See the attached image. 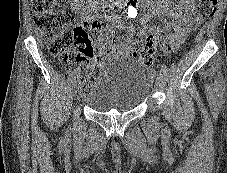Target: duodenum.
<instances>
[{"mask_svg":"<svg viewBox=\"0 0 227 173\" xmlns=\"http://www.w3.org/2000/svg\"><path fill=\"white\" fill-rule=\"evenodd\" d=\"M101 1L104 10L108 13L112 12L113 10L119 11L126 3V0H101Z\"/></svg>","mask_w":227,"mask_h":173,"instance_id":"duodenum-1","label":"duodenum"}]
</instances>
